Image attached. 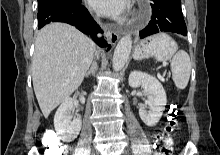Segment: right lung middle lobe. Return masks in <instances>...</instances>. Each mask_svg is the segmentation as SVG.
Here are the masks:
<instances>
[{"label": "right lung middle lobe", "mask_w": 220, "mask_h": 155, "mask_svg": "<svg viewBox=\"0 0 220 155\" xmlns=\"http://www.w3.org/2000/svg\"><path fill=\"white\" fill-rule=\"evenodd\" d=\"M78 3H81V0H38V10H42L57 4H78Z\"/></svg>", "instance_id": "dd1d6c3e"}]
</instances>
